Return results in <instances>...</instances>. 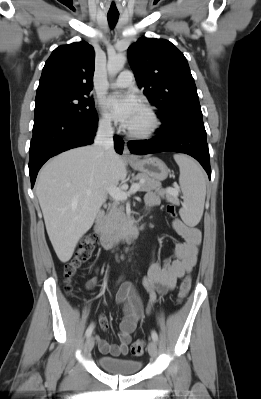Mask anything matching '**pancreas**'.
<instances>
[{
  "mask_svg": "<svg viewBox=\"0 0 261 399\" xmlns=\"http://www.w3.org/2000/svg\"><path fill=\"white\" fill-rule=\"evenodd\" d=\"M133 180H140V191L155 190L161 196L171 197L172 195L167 190L162 189L161 182L152 179L143 174L136 175ZM127 224V217L124 213V207L120 206L118 201H114L109 206V212L105 216V227L109 234L118 233Z\"/></svg>",
  "mask_w": 261,
  "mask_h": 399,
  "instance_id": "1",
  "label": "pancreas"
}]
</instances>
